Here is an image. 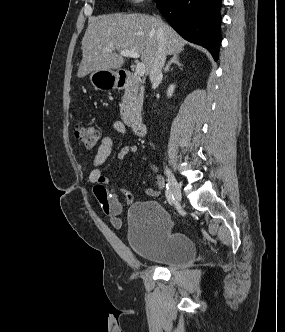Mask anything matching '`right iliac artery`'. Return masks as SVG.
Masks as SVG:
<instances>
[{
    "mask_svg": "<svg viewBox=\"0 0 285 332\" xmlns=\"http://www.w3.org/2000/svg\"><path fill=\"white\" fill-rule=\"evenodd\" d=\"M165 195H166V198H167L168 203H169L170 205H172V204L174 203L175 198H174L173 194L171 193L168 184H166Z\"/></svg>",
    "mask_w": 285,
    "mask_h": 332,
    "instance_id": "1",
    "label": "right iliac artery"
}]
</instances>
